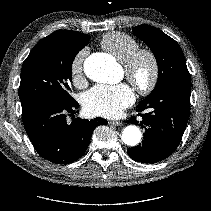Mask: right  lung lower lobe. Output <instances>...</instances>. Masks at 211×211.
Returning a JSON list of instances; mask_svg holds the SVG:
<instances>
[{"label": "right lung lower lobe", "instance_id": "98d812e1", "mask_svg": "<svg viewBox=\"0 0 211 211\" xmlns=\"http://www.w3.org/2000/svg\"><path fill=\"white\" fill-rule=\"evenodd\" d=\"M78 107L75 100L70 103L43 100L22 109L25 130L35 150L46 160L56 164L78 160L85 153L95 127L108 123L102 118L90 121L75 118L69 124L67 116H72Z\"/></svg>", "mask_w": 211, "mask_h": 211}]
</instances>
